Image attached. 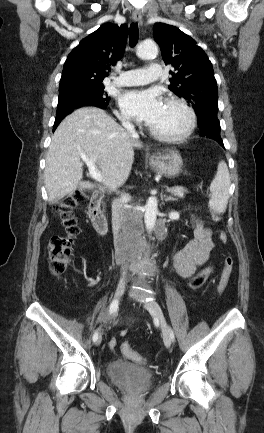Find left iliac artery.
Returning a JSON list of instances; mask_svg holds the SVG:
<instances>
[{
	"mask_svg": "<svg viewBox=\"0 0 264 433\" xmlns=\"http://www.w3.org/2000/svg\"><path fill=\"white\" fill-rule=\"evenodd\" d=\"M170 334H171V339L174 341L175 337H174V333L171 329H170Z\"/></svg>",
	"mask_w": 264,
	"mask_h": 433,
	"instance_id": "obj_1",
	"label": "left iliac artery"
}]
</instances>
